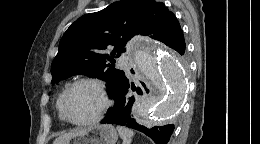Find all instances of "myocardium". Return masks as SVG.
<instances>
[{"label":"myocardium","mask_w":260,"mask_h":144,"mask_svg":"<svg viewBox=\"0 0 260 144\" xmlns=\"http://www.w3.org/2000/svg\"><path fill=\"white\" fill-rule=\"evenodd\" d=\"M83 84L91 85L97 90V92L99 93L100 99H101V106H100L99 111L97 112V114L94 117L84 120V121H74L67 114L66 103H67L69 96L74 91V89ZM109 105H110L109 97H108L107 91H106L103 83L94 78H82V79H78L75 82H73L68 87L66 92L64 93L62 100H61V113H62L64 120L67 121L68 123L75 125V126H87V125L98 122L103 117V115L105 114L107 109L109 108Z\"/></svg>","instance_id":"1"}]
</instances>
